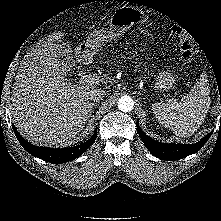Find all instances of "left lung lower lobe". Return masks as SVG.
<instances>
[{
    "instance_id": "obj_1",
    "label": "left lung lower lobe",
    "mask_w": 221,
    "mask_h": 221,
    "mask_svg": "<svg viewBox=\"0 0 221 221\" xmlns=\"http://www.w3.org/2000/svg\"><path fill=\"white\" fill-rule=\"evenodd\" d=\"M139 121H137V132L147 147V149L156 157L167 160H179L184 157H187L191 154L196 153L198 150L202 148V146L207 142L210 138L212 132L208 135L203 137L200 141L195 144H168V143H161L158 141L153 140L149 136H147L139 127Z\"/></svg>"
}]
</instances>
